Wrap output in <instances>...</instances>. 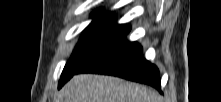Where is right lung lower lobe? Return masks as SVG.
I'll use <instances>...</instances> for the list:
<instances>
[{
    "label": "right lung lower lobe",
    "mask_w": 221,
    "mask_h": 102,
    "mask_svg": "<svg viewBox=\"0 0 221 102\" xmlns=\"http://www.w3.org/2000/svg\"><path fill=\"white\" fill-rule=\"evenodd\" d=\"M128 32L73 74L61 79L58 87L61 88L74 74L99 73L148 84L161 92L158 68L144 58L143 48L137 42L125 40Z\"/></svg>",
    "instance_id": "98d812e1"
}]
</instances>
